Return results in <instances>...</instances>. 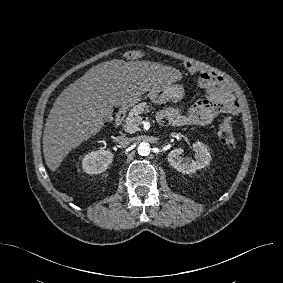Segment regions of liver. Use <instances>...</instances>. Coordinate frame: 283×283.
Instances as JSON below:
<instances>
[{
    "instance_id": "obj_1",
    "label": "liver",
    "mask_w": 283,
    "mask_h": 283,
    "mask_svg": "<svg viewBox=\"0 0 283 283\" xmlns=\"http://www.w3.org/2000/svg\"><path fill=\"white\" fill-rule=\"evenodd\" d=\"M181 73L157 62L113 59L89 69L53 104L43 133V154L51 171L66 155L104 126L106 108L132 102L152 89L171 84Z\"/></svg>"
}]
</instances>
